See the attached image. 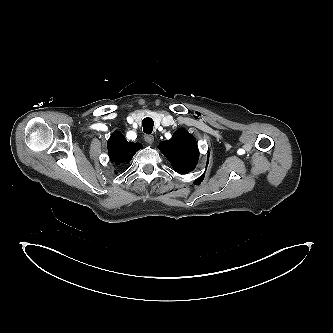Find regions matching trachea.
Returning a JSON list of instances; mask_svg holds the SVG:
<instances>
[{"label":"trachea","instance_id":"trachea-1","mask_svg":"<svg viewBox=\"0 0 333 333\" xmlns=\"http://www.w3.org/2000/svg\"><path fill=\"white\" fill-rule=\"evenodd\" d=\"M143 131L146 134H151L153 131L154 122L151 118H144L142 121Z\"/></svg>","mask_w":333,"mask_h":333}]
</instances>
